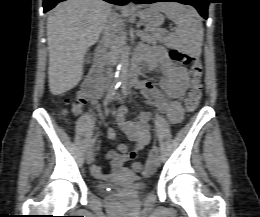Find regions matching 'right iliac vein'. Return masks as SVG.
<instances>
[{"label": "right iliac vein", "instance_id": "63e3f726", "mask_svg": "<svg viewBox=\"0 0 260 217\" xmlns=\"http://www.w3.org/2000/svg\"><path fill=\"white\" fill-rule=\"evenodd\" d=\"M94 160V152L93 150H89L88 153H87V156H86V161L87 163L90 165Z\"/></svg>", "mask_w": 260, "mask_h": 217}]
</instances>
